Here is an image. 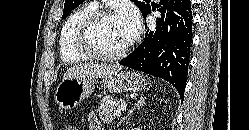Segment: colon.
Segmentation results:
<instances>
[{
    "mask_svg": "<svg viewBox=\"0 0 249 130\" xmlns=\"http://www.w3.org/2000/svg\"><path fill=\"white\" fill-rule=\"evenodd\" d=\"M61 130H79L76 126L71 123H65Z\"/></svg>",
    "mask_w": 249,
    "mask_h": 130,
    "instance_id": "1",
    "label": "colon"
}]
</instances>
